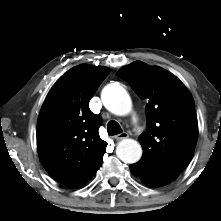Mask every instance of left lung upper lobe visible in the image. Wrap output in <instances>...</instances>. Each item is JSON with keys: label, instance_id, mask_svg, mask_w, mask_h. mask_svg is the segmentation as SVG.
Returning <instances> with one entry per match:
<instances>
[{"label": "left lung upper lobe", "instance_id": "5c2ea615", "mask_svg": "<svg viewBox=\"0 0 221 221\" xmlns=\"http://www.w3.org/2000/svg\"><path fill=\"white\" fill-rule=\"evenodd\" d=\"M117 75L148 102L146 131L138 138L143 156L133 164L137 176L151 187L164 186L178 177L196 146L194 100L176 76L160 67L135 61Z\"/></svg>", "mask_w": 221, "mask_h": 221}]
</instances>
